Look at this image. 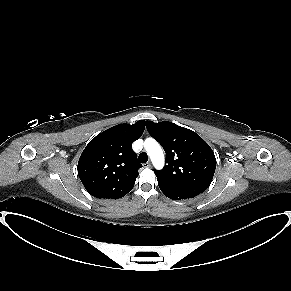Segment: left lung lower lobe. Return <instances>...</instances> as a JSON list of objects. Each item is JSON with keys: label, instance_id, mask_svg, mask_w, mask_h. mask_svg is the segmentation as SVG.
Here are the masks:
<instances>
[{"label": "left lung lower lobe", "instance_id": "1", "mask_svg": "<svg viewBox=\"0 0 291 291\" xmlns=\"http://www.w3.org/2000/svg\"><path fill=\"white\" fill-rule=\"evenodd\" d=\"M158 185H159V188L161 189V191L164 193V195L170 199H173V200L189 199V198L195 197V196H192L189 194L179 192V191L174 190L170 187H167V186L161 184L159 181H158Z\"/></svg>", "mask_w": 291, "mask_h": 291}]
</instances>
